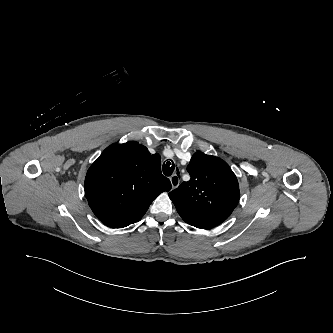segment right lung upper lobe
Instances as JSON below:
<instances>
[{"instance_id": "obj_1", "label": "right lung upper lobe", "mask_w": 333, "mask_h": 333, "mask_svg": "<svg viewBox=\"0 0 333 333\" xmlns=\"http://www.w3.org/2000/svg\"><path fill=\"white\" fill-rule=\"evenodd\" d=\"M171 183L161 173V158L135 142L112 144L88 169L85 196L94 214L111 228L139 221Z\"/></svg>"}]
</instances>
